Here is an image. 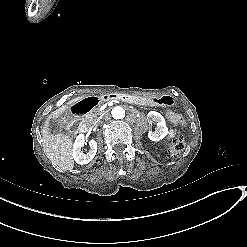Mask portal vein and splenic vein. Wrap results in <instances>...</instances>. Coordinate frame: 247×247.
<instances>
[{"label": "portal vein and splenic vein", "instance_id": "obj_1", "mask_svg": "<svg viewBox=\"0 0 247 247\" xmlns=\"http://www.w3.org/2000/svg\"><path fill=\"white\" fill-rule=\"evenodd\" d=\"M109 102L120 104V101H116L115 99H107L105 103L102 105V107H100V111H103L105 107L107 106V104H109Z\"/></svg>", "mask_w": 247, "mask_h": 247}]
</instances>
